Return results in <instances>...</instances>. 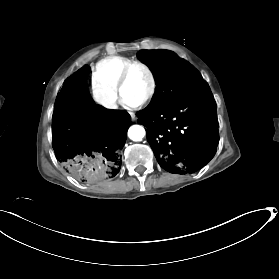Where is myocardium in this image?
Masks as SVG:
<instances>
[{
  "label": "myocardium",
  "mask_w": 279,
  "mask_h": 279,
  "mask_svg": "<svg viewBox=\"0 0 279 279\" xmlns=\"http://www.w3.org/2000/svg\"><path fill=\"white\" fill-rule=\"evenodd\" d=\"M135 67H140L143 70H145V72L148 74V76L150 78V89H149L147 95L139 103H137L135 105L137 107H141V106L145 105L146 103H148L154 97V95L156 93V88H157L156 77H155L152 69L147 64H145L141 61H131L130 63H128L119 74L118 82H117V92H118L119 96L121 97V99L123 100L124 88H125L128 76H129L131 70Z\"/></svg>",
  "instance_id": "obj_1"
}]
</instances>
